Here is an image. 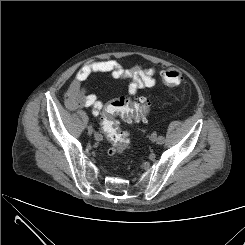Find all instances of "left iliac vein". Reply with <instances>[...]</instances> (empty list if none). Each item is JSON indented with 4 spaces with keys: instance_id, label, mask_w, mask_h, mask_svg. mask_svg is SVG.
<instances>
[{
    "instance_id": "obj_1",
    "label": "left iliac vein",
    "mask_w": 245,
    "mask_h": 245,
    "mask_svg": "<svg viewBox=\"0 0 245 245\" xmlns=\"http://www.w3.org/2000/svg\"><path fill=\"white\" fill-rule=\"evenodd\" d=\"M157 134L156 133H153L152 135H151V141L152 142H157Z\"/></svg>"
}]
</instances>
